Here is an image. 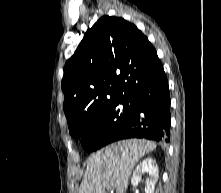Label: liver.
I'll return each mask as SVG.
<instances>
[{
	"label": "liver",
	"mask_w": 221,
	"mask_h": 193,
	"mask_svg": "<svg viewBox=\"0 0 221 193\" xmlns=\"http://www.w3.org/2000/svg\"><path fill=\"white\" fill-rule=\"evenodd\" d=\"M156 148L148 140L128 139L113 143L93 154L87 162L79 193H125L138 161Z\"/></svg>",
	"instance_id": "1"
}]
</instances>
